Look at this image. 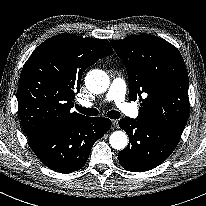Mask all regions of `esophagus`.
Listing matches in <instances>:
<instances>
[{
	"mask_svg": "<svg viewBox=\"0 0 206 206\" xmlns=\"http://www.w3.org/2000/svg\"><path fill=\"white\" fill-rule=\"evenodd\" d=\"M112 125L117 128L118 127V120H112Z\"/></svg>",
	"mask_w": 206,
	"mask_h": 206,
	"instance_id": "esophagus-1",
	"label": "esophagus"
}]
</instances>
